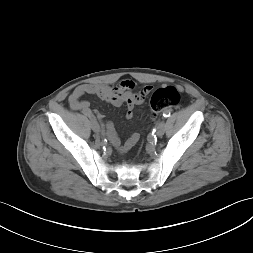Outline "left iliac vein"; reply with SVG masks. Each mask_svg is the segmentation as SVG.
I'll list each match as a JSON object with an SVG mask.
<instances>
[{
    "label": "left iliac vein",
    "instance_id": "1",
    "mask_svg": "<svg viewBox=\"0 0 253 253\" xmlns=\"http://www.w3.org/2000/svg\"><path fill=\"white\" fill-rule=\"evenodd\" d=\"M164 132H165V123L164 122H160L158 125H157V136L158 137H162L164 135Z\"/></svg>",
    "mask_w": 253,
    "mask_h": 253
}]
</instances>
